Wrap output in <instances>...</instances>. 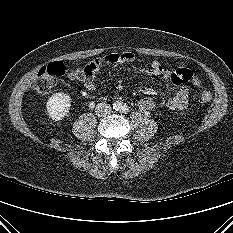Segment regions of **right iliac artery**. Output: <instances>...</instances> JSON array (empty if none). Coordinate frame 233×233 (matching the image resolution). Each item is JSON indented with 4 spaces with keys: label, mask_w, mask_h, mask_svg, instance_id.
<instances>
[{
    "label": "right iliac artery",
    "mask_w": 233,
    "mask_h": 233,
    "mask_svg": "<svg viewBox=\"0 0 233 233\" xmlns=\"http://www.w3.org/2000/svg\"><path fill=\"white\" fill-rule=\"evenodd\" d=\"M115 107H116V108H117V110H118V108H119V107H118V106H115Z\"/></svg>",
    "instance_id": "1"
}]
</instances>
